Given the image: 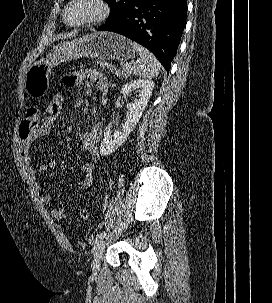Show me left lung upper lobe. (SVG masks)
I'll list each match as a JSON object with an SVG mask.
<instances>
[{"label": "left lung upper lobe", "mask_w": 272, "mask_h": 303, "mask_svg": "<svg viewBox=\"0 0 272 303\" xmlns=\"http://www.w3.org/2000/svg\"><path fill=\"white\" fill-rule=\"evenodd\" d=\"M111 6V14L107 21H110L123 13H125L130 7H132L138 0H107Z\"/></svg>", "instance_id": "obj_1"}]
</instances>
